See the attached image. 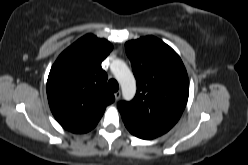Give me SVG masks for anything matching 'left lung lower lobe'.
I'll use <instances>...</instances> for the list:
<instances>
[{
  "mask_svg": "<svg viewBox=\"0 0 248 165\" xmlns=\"http://www.w3.org/2000/svg\"><path fill=\"white\" fill-rule=\"evenodd\" d=\"M123 122L126 126V128L136 137H139L141 139H153L156 138L164 133H161L157 130L146 128L143 126H140L138 124L133 123L132 121L128 120L127 118L123 117Z\"/></svg>",
  "mask_w": 248,
  "mask_h": 165,
  "instance_id": "obj_1",
  "label": "left lung lower lobe"
}]
</instances>
